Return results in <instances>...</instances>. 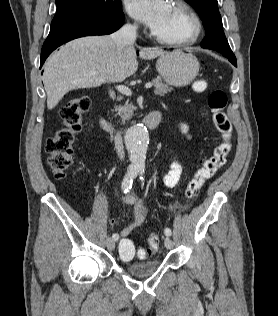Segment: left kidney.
<instances>
[{
    "label": "left kidney",
    "mask_w": 278,
    "mask_h": 316,
    "mask_svg": "<svg viewBox=\"0 0 278 316\" xmlns=\"http://www.w3.org/2000/svg\"><path fill=\"white\" fill-rule=\"evenodd\" d=\"M189 127L186 124H181L182 133L186 134L188 132Z\"/></svg>",
    "instance_id": "5707ae66"
}]
</instances>
